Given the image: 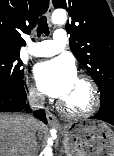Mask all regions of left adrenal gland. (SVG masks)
I'll list each match as a JSON object with an SVG mask.
<instances>
[{"instance_id": "obj_1", "label": "left adrenal gland", "mask_w": 114, "mask_h": 156, "mask_svg": "<svg viewBox=\"0 0 114 156\" xmlns=\"http://www.w3.org/2000/svg\"><path fill=\"white\" fill-rule=\"evenodd\" d=\"M63 152V150H61V153ZM60 156H62V154H60Z\"/></svg>"}]
</instances>
